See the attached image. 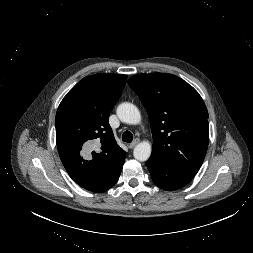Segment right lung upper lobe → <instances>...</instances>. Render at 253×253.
I'll list each match as a JSON object with an SVG mask.
<instances>
[{"label": "right lung upper lobe", "mask_w": 253, "mask_h": 253, "mask_svg": "<svg viewBox=\"0 0 253 253\" xmlns=\"http://www.w3.org/2000/svg\"><path fill=\"white\" fill-rule=\"evenodd\" d=\"M127 76L95 74L80 80L63 98L55 117L60 159L81 187L98 192L125 161L109 125V114L119 99ZM94 151L86 158L82 148Z\"/></svg>", "instance_id": "1"}]
</instances>
